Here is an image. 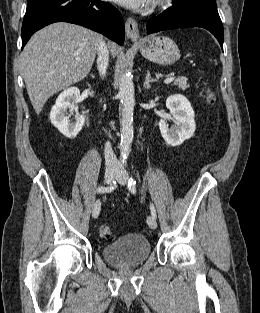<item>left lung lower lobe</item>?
<instances>
[{"mask_svg":"<svg viewBox=\"0 0 260 313\" xmlns=\"http://www.w3.org/2000/svg\"><path fill=\"white\" fill-rule=\"evenodd\" d=\"M202 27L209 30L223 49L224 31L217 10L200 7H180L173 4L147 23V34L175 28Z\"/></svg>","mask_w":260,"mask_h":313,"instance_id":"obj_1","label":"left lung lower lobe"}]
</instances>
